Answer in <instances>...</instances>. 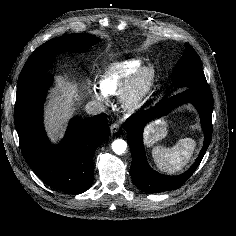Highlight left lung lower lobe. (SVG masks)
Segmentation results:
<instances>
[{
    "instance_id": "0a47b994",
    "label": "left lung lower lobe",
    "mask_w": 236,
    "mask_h": 236,
    "mask_svg": "<svg viewBox=\"0 0 236 236\" xmlns=\"http://www.w3.org/2000/svg\"><path fill=\"white\" fill-rule=\"evenodd\" d=\"M192 103L198 110L204 132V145L195 163L183 174L167 176L157 173L148 165L143 145V129L155 116L166 115L170 109L184 103ZM213 96L209 85L186 88L157 106L128 118L124 124L128 132L127 140L131 149L132 164L130 174L134 184L143 192L156 193L180 188L199 166L212 138Z\"/></svg>"
}]
</instances>
